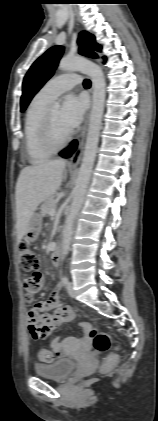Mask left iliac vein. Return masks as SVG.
<instances>
[{
    "mask_svg": "<svg viewBox=\"0 0 158 421\" xmlns=\"http://www.w3.org/2000/svg\"><path fill=\"white\" fill-rule=\"evenodd\" d=\"M67 291H68V294H69L71 297H74V290H73V287H72V284H71V283H68V284H67Z\"/></svg>",
    "mask_w": 158,
    "mask_h": 421,
    "instance_id": "4c4485c4",
    "label": "left iliac vein"
}]
</instances>
